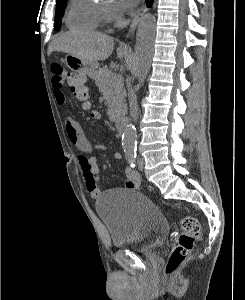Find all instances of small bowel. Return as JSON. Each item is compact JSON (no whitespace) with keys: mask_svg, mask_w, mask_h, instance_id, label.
Segmentation results:
<instances>
[{"mask_svg":"<svg viewBox=\"0 0 245 300\" xmlns=\"http://www.w3.org/2000/svg\"><path fill=\"white\" fill-rule=\"evenodd\" d=\"M63 80L53 75L52 87L54 92V98L56 103L60 106L64 105L66 98L62 90ZM89 117L94 121L101 120V113L95 109H89ZM65 129L70 142L75 145L79 150L78 164L90 196L97 199L101 195V189L99 185V167L97 165V158L92 155V144L87 139L86 135L80 124L71 116H66ZM112 157L116 160H120L122 155L120 153H114ZM126 183L125 187L128 189H136L140 185V175L132 168H127L125 171Z\"/></svg>","mask_w":245,"mask_h":300,"instance_id":"small-bowel-1","label":"small bowel"}]
</instances>
